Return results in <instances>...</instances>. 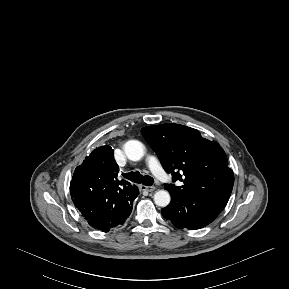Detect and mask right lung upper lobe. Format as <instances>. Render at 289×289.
Listing matches in <instances>:
<instances>
[{
  "mask_svg": "<svg viewBox=\"0 0 289 289\" xmlns=\"http://www.w3.org/2000/svg\"><path fill=\"white\" fill-rule=\"evenodd\" d=\"M113 153L114 150L108 145L96 148L76 168L73 178L77 177L81 185L77 196L80 207L100 209L114 205L123 196H129L133 186L117 179L119 167Z\"/></svg>",
  "mask_w": 289,
  "mask_h": 289,
  "instance_id": "cb5924a9",
  "label": "right lung upper lobe"
}]
</instances>
